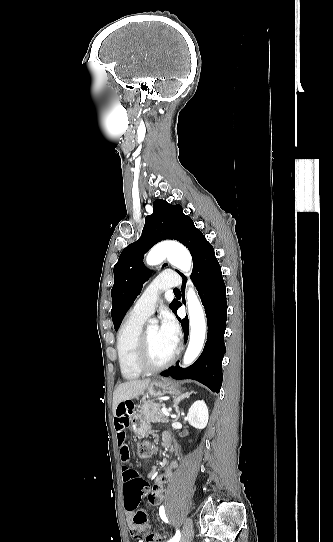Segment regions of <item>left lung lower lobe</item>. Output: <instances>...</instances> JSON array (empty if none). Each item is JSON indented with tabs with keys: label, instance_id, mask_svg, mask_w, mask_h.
I'll use <instances>...</instances> for the list:
<instances>
[{
	"label": "left lung lower lobe",
	"instance_id": "0a47b994",
	"mask_svg": "<svg viewBox=\"0 0 333 542\" xmlns=\"http://www.w3.org/2000/svg\"><path fill=\"white\" fill-rule=\"evenodd\" d=\"M191 279L198 290L208 322L207 341L197 361L186 369L170 367L161 373L174 379H193L206 385L213 392L219 393L222 385V360L226 352L224 334L226 330L227 302L226 287L221 267L215 257L214 249L207 241L201 248L198 260L193 267ZM186 277L183 276L182 293L184 296ZM181 306L176 301V310ZM184 331L185 342L188 338V317L178 318Z\"/></svg>",
	"mask_w": 333,
	"mask_h": 542
}]
</instances>
